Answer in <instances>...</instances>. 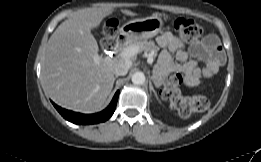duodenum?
<instances>
[{
  "mask_svg": "<svg viewBox=\"0 0 261 162\" xmlns=\"http://www.w3.org/2000/svg\"><path fill=\"white\" fill-rule=\"evenodd\" d=\"M127 41H128V37L124 34H121L116 39V45L118 47H122L127 43Z\"/></svg>",
  "mask_w": 261,
  "mask_h": 162,
  "instance_id": "410a0bca",
  "label": "duodenum"
}]
</instances>
